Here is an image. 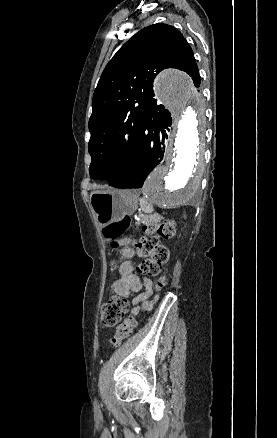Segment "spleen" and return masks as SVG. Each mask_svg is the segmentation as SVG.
<instances>
[{
	"label": "spleen",
	"mask_w": 277,
	"mask_h": 438,
	"mask_svg": "<svg viewBox=\"0 0 277 438\" xmlns=\"http://www.w3.org/2000/svg\"><path fill=\"white\" fill-rule=\"evenodd\" d=\"M140 204L145 214H152V212H154L153 206H151V204H147L146 200H140Z\"/></svg>",
	"instance_id": "3e777b00"
}]
</instances>
